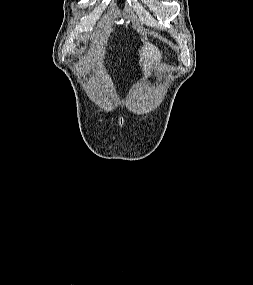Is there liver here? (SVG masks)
Wrapping results in <instances>:
<instances>
[{"instance_id": "1", "label": "liver", "mask_w": 253, "mask_h": 285, "mask_svg": "<svg viewBox=\"0 0 253 285\" xmlns=\"http://www.w3.org/2000/svg\"><path fill=\"white\" fill-rule=\"evenodd\" d=\"M140 63L143 62V69L145 71V77L148 76L147 71L156 63L160 62L161 52L153 44H149L142 48L140 53Z\"/></svg>"}]
</instances>
